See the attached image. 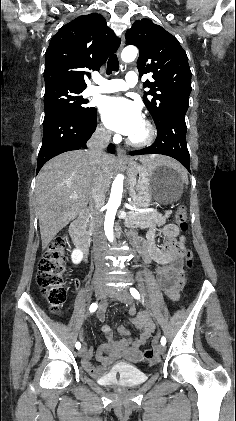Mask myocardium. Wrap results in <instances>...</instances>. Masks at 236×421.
<instances>
[{"label": "myocardium", "instance_id": "myocardium-1", "mask_svg": "<svg viewBox=\"0 0 236 421\" xmlns=\"http://www.w3.org/2000/svg\"><path fill=\"white\" fill-rule=\"evenodd\" d=\"M146 127V134L142 139H134L131 136L127 138L129 145L134 147H147L150 146L156 139L157 131L155 126L147 119L143 120Z\"/></svg>", "mask_w": 236, "mask_h": 421}]
</instances>
